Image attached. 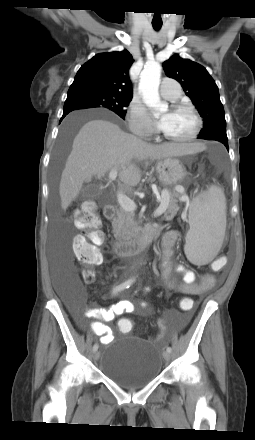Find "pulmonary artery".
<instances>
[{"mask_svg": "<svg viewBox=\"0 0 255 440\" xmlns=\"http://www.w3.org/2000/svg\"><path fill=\"white\" fill-rule=\"evenodd\" d=\"M160 93L164 99L176 100L180 97L181 89L174 79L164 78L160 85Z\"/></svg>", "mask_w": 255, "mask_h": 440, "instance_id": "e3ab8cb5", "label": "pulmonary artery"}]
</instances>
